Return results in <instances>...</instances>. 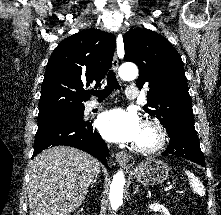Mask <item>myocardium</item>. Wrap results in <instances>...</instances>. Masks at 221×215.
<instances>
[{"label": "myocardium", "instance_id": "1", "mask_svg": "<svg viewBox=\"0 0 221 215\" xmlns=\"http://www.w3.org/2000/svg\"><path fill=\"white\" fill-rule=\"evenodd\" d=\"M142 128L149 129L153 132L154 141L148 145L135 142L133 145L134 150L142 154H153L165 146L167 141V132L159 121L147 119L143 121Z\"/></svg>", "mask_w": 221, "mask_h": 215}]
</instances>
